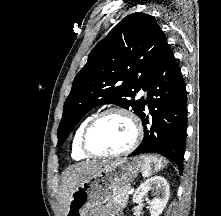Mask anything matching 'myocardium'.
Returning a JSON list of instances; mask_svg holds the SVG:
<instances>
[{"label":"myocardium","mask_w":221,"mask_h":216,"mask_svg":"<svg viewBox=\"0 0 221 216\" xmlns=\"http://www.w3.org/2000/svg\"><path fill=\"white\" fill-rule=\"evenodd\" d=\"M110 114H120L129 120L133 128L132 141L126 148L118 152H112V153L94 152L88 146L87 140H88L89 132L98 121H100L101 119H103L104 117ZM142 135H143V126H142L140 119L128 108H125L122 106H113L95 114L88 121V123L84 127L82 134H81L80 146H81L82 151L88 156L96 157V158H116V157L124 156L130 153L133 149H135L140 143L142 139Z\"/></svg>","instance_id":"obj_1"}]
</instances>
